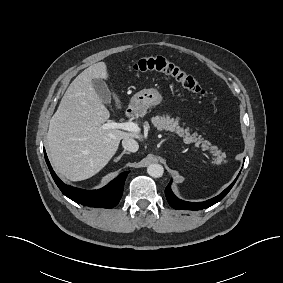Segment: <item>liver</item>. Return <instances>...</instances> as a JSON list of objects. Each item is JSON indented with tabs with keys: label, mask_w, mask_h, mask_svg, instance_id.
<instances>
[{
	"label": "liver",
	"mask_w": 283,
	"mask_h": 283,
	"mask_svg": "<svg viewBox=\"0 0 283 283\" xmlns=\"http://www.w3.org/2000/svg\"><path fill=\"white\" fill-rule=\"evenodd\" d=\"M99 78H108L105 62L89 66L72 81L50 120L48 156L55 171L71 181L88 179L103 169L121 139H140L137 133L104 128L110 112L93 87L92 81ZM114 99L121 109L115 93Z\"/></svg>",
	"instance_id": "liver-1"
}]
</instances>
